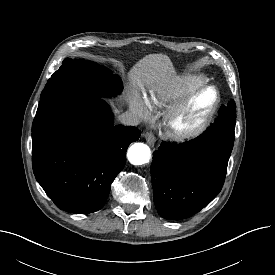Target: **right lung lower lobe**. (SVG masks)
Returning a JSON list of instances; mask_svg holds the SVG:
<instances>
[{
  "mask_svg": "<svg viewBox=\"0 0 275 275\" xmlns=\"http://www.w3.org/2000/svg\"><path fill=\"white\" fill-rule=\"evenodd\" d=\"M133 126L113 124L109 105L97 96L67 93L37 113L32 125L36 180L62 210L88 214L106 202L126 163Z\"/></svg>",
  "mask_w": 275,
  "mask_h": 275,
  "instance_id": "right-lung-lower-lobe-1",
  "label": "right lung lower lobe"
}]
</instances>
